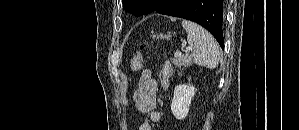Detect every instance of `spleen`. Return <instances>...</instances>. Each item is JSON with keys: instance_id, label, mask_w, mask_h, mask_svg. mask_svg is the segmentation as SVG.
<instances>
[{"instance_id": "1", "label": "spleen", "mask_w": 299, "mask_h": 130, "mask_svg": "<svg viewBox=\"0 0 299 130\" xmlns=\"http://www.w3.org/2000/svg\"><path fill=\"white\" fill-rule=\"evenodd\" d=\"M182 27L187 32L188 44L192 47L191 58L198 66L214 69L219 64V45L213 36L198 24L183 20Z\"/></svg>"}]
</instances>
